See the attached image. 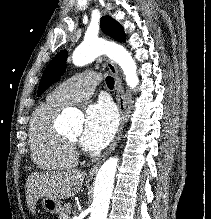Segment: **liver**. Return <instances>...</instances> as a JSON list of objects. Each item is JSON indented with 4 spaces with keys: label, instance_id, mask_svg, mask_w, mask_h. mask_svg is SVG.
Here are the masks:
<instances>
[{
    "label": "liver",
    "instance_id": "1",
    "mask_svg": "<svg viewBox=\"0 0 211 219\" xmlns=\"http://www.w3.org/2000/svg\"><path fill=\"white\" fill-rule=\"evenodd\" d=\"M86 173L82 170H64L32 173L26 182V201L32 213L41 197L69 199L81 189Z\"/></svg>",
    "mask_w": 211,
    "mask_h": 219
}]
</instances>
